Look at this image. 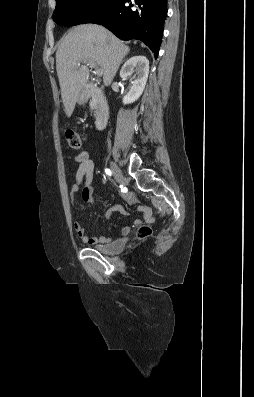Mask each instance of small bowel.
<instances>
[{"instance_id": "obj_1", "label": "small bowel", "mask_w": 254, "mask_h": 397, "mask_svg": "<svg viewBox=\"0 0 254 397\" xmlns=\"http://www.w3.org/2000/svg\"><path fill=\"white\" fill-rule=\"evenodd\" d=\"M76 162L78 163V168L74 173L75 183L71 187L70 194L74 197L78 192H81L82 199L87 203H93L92 193H93V176H94V162L90 159L87 151H81L76 157ZM124 199L129 204H136L137 200L132 195H125ZM137 210L143 213V218L145 222L152 223L154 218L152 216L151 209L144 205H139ZM112 211H120L127 215L128 213L118 206L112 207L107 213V217L110 218ZM142 223L140 219L134 221L135 226H139ZM74 229L79 236V238L86 244H108L111 242V238L107 236H89L86 233L84 226L80 222L74 223ZM130 232L129 227H125L122 230L124 235Z\"/></svg>"}]
</instances>
